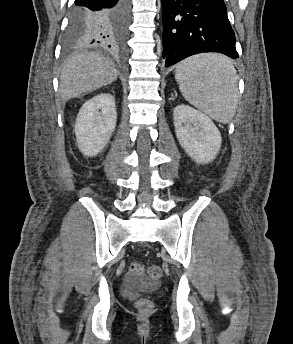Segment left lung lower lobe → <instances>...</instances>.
<instances>
[{
	"mask_svg": "<svg viewBox=\"0 0 293 344\" xmlns=\"http://www.w3.org/2000/svg\"><path fill=\"white\" fill-rule=\"evenodd\" d=\"M162 7L166 67L201 52L238 58L223 0H162Z\"/></svg>",
	"mask_w": 293,
	"mask_h": 344,
	"instance_id": "left-lung-lower-lobe-1",
	"label": "left lung lower lobe"
}]
</instances>
